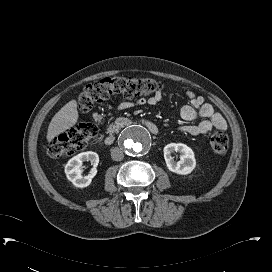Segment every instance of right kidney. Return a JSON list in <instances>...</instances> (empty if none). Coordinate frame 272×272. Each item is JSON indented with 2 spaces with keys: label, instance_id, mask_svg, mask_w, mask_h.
I'll list each match as a JSON object with an SVG mask.
<instances>
[{
  "label": "right kidney",
  "instance_id": "obj_1",
  "mask_svg": "<svg viewBox=\"0 0 272 272\" xmlns=\"http://www.w3.org/2000/svg\"><path fill=\"white\" fill-rule=\"evenodd\" d=\"M84 161H90L93 165V168L90 171V174L87 176L81 175V165ZM99 163V156L96 152L87 151L82 152L73 158H71L65 166V173L74 186L79 188H84L90 185L93 177L96 175V167Z\"/></svg>",
  "mask_w": 272,
  "mask_h": 272
}]
</instances>
